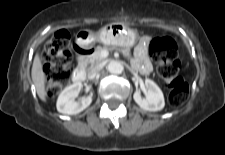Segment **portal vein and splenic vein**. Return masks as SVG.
I'll return each mask as SVG.
<instances>
[{
	"mask_svg": "<svg viewBox=\"0 0 225 155\" xmlns=\"http://www.w3.org/2000/svg\"><path fill=\"white\" fill-rule=\"evenodd\" d=\"M107 56V52H104V56L103 57H106Z\"/></svg>",
	"mask_w": 225,
	"mask_h": 155,
	"instance_id": "18ae733b",
	"label": "portal vein and splenic vein"
}]
</instances>
